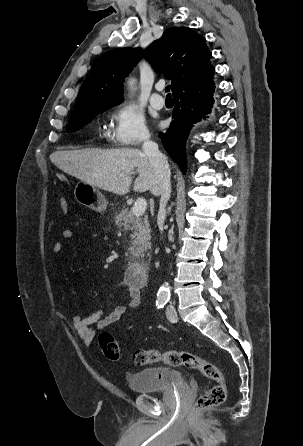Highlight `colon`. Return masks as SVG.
I'll use <instances>...</instances> for the list:
<instances>
[{"instance_id":"colon-1","label":"colon","mask_w":303,"mask_h":446,"mask_svg":"<svg viewBox=\"0 0 303 446\" xmlns=\"http://www.w3.org/2000/svg\"><path fill=\"white\" fill-rule=\"evenodd\" d=\"M62 210L67 213L69 210L68 201L60 199ZM99 346L103 354L111 361L117 362L121 358L120 347L117 340L108 332H103L98 337ZM132 360L137 365L154 363H165L170 366H183L188 369L199 370L205 377L212 380L214 384L202 394L196 401L193 412L220 405L226 399L227 387L224 374L213 363L206 361L196 354L188 351H165L156 349H139L132 354Z\"/></svg>"}]
</instances>
